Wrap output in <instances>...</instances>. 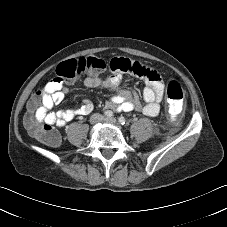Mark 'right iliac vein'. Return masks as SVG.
Returning a JSON list of instances; mask_svg holds the SVG:
<instances>
[{"label": "right iliac vein", "mask_w": 227, "mask_h": 227, "mask_svg": "<svg viewBox=\"0 0 227 227\" xmlns=\"http://www.w3.org/2000/svg\"><path fill=\"white\" fill-rule=\"evenodd\" d=\"M102 119H103V117L100 114H95L91 117L90 123L91 124H97V123L101 122Z\"/></svg>", "instance_id": "63e3f726"}]
</instances>
